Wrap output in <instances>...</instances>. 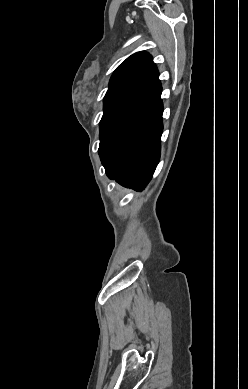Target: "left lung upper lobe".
Masks as SVG:
<instances>
[{"label": "left lung upper lobe", "instance_id": "left-lung-upper-lobe-1", "mask_svg": "<svg viewBox=\"0 0 248 389\" xmlns=\"http://www.w3.org/2000/svg\"><path fill=\"white\" fill-rule=\"evenodd\" d=\"M152 65H154L152 56L145 51L136 52L124 60L115 69L110 79L109 88L104 97V107ZM101 141L100 139V143Z\"/></svg>", "mask_w": 248, "mask_h": 389}]
</instances>
